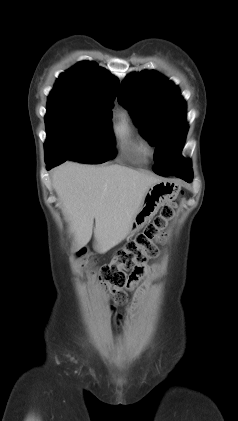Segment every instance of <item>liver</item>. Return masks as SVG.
Returning <instances> with one entry per match:
<instances>
[{
	"label": "liver",
	"instance_id": "1",
	"mask_svg": "<svg viewBox=\"0 0 238 421\" xmlns=\"http://www.w3.org/2000/svg\"><path fill=\"white\" fill-rule=\"evenodd\" d=\"M150 174L113 164L93 166L66 162L52 174V185L78 247L93 233L98 248L106 252L128 234L147 189L160 182Z\"/></svg>",
	"mask_w": 238,
	"mask_h": 421
}]
</instances>
